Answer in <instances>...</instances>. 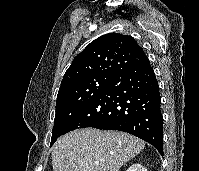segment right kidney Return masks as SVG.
Wrapping results in <instances>:
<instances>
[{
  "label": "right kidney",
  "instance_id": "obj_1",
  "mask_svg": "<svg viewBox=\"0 0 199 171\" xmlns=\"http://www.w3.org/2000/svg\"><path fill=\"white\" fill-rule=\"evenodd\" d=\"M126 171H147V169L142 166V164L135 163L132 164Z\"/></svg>",
  "mask_w": 199,
  "mask_h": 171
}]
</instances>
